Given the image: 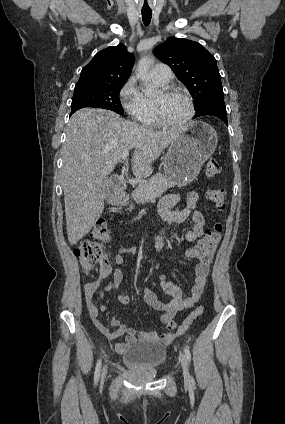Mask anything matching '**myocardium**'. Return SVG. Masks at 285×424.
I'll use <instances>...</instances> for the list:
<instances>
[{"label":"myocardium","mask_w":285,"mask_h":424,"mask_svg":"<svg viewBox=\"0 0 285 424\" xmlns=\"http://www.w3.org/2000/svg\"><path fill=\"white\" fill-rule=\"evenodd\" d=\"M162 93L166 97L172 96V95H181V96L185 97L188 104H189V113H188L187 117L180 123L168 122L165 119V117L163 116L160 103L157 102V101H154L155 116H156V119H157L159 125H161L162 127H165V128L175 129V130L182 129V128L186 127L191 122L193 117L195 116V105H194V101H193L192 96L189 93H187L186 91H184L182 89H178V88H166L162 91Z\"/></svg>","instance_id":"myocardium-1"}]
</instances>
